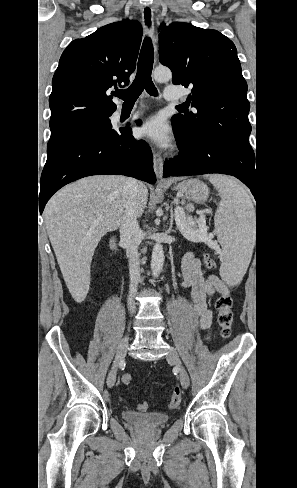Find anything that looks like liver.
<instances>
[{
	"instance_id": "1",
	"label": "liver",
	"mask_w": 297,
	"mask_h": 488,
	"mask_svg": "<svg viewBox=\"0 0 297 488\" xmlns=\"http://www.w3.org/2000/svg\"><path fill=\"white\" fill-rule=\"evenodd\" d=\"M127 178L98 175L80 179L58 191L47 203L44 217L57 262L72 297L81 303L90 286V265L102 236L116 230L124 215L123 188ZM140 184L136 215L148 198ZM102 215L103 219L97 220Z\"/></svg>"
}]
</instances>
